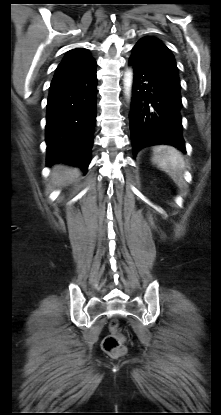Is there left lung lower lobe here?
Listing matches in <instances>:
<instances>
[{"label":"left lung lower lobe","mask_w":221,"mask_h":415,"mask_svg":"<svg viewBox=\"0 0 221 415\" xmlns=\"http://www.w3.org/2000/svg\"><path fill=\"white\" fill-rule=\"evenodd\" d=\"M131 112L133 154L146 146L172 145L185 152L182 136L180 83L162 71L134 58Z\"/></svg>","instance_id":"left-lung-lower-lobe-1"}]
</instances>
